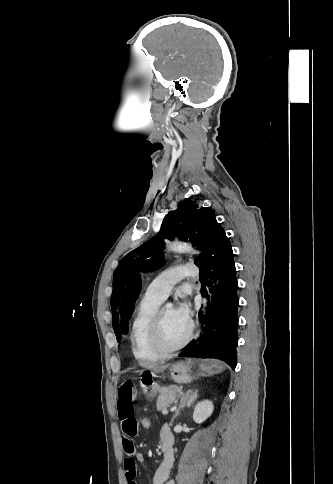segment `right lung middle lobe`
<instances>
[{
    "instance_id": "right-lung-middle-lobe-1",
    "label": "right lung middle lobe",
    "mask_w": 333,
    "mask_h": 484,
    "mask_svg": "<svg viewBox=\"0 0 333 484\" xmlns=\"http://www.w3.org/2000/svg\"><path fill=\"white\" fill-rule=\"evenodd\" d=\"M127 330H128V326L125 327V330L123 333L126 334Z\"/></svg>"
}]
</instances>
